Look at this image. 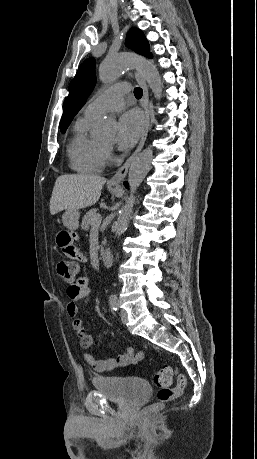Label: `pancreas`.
<instances>
[{
  "instance_id": "pancreas-1",
  "label": "pancreas",
  "mask_w": 257,
  "mask_h": 459,
  "mask_svg": "<svg viewBox=\"0 0 257 459\" xmlns=\"http://www.w3.org/2000/svg\"><path fill=\"white\" fill-rule=\"evenodd\" d=\"M99 215L97 209L89 210L82 220V230L88 231L90 226H93L95 218Z\"/></svg>"
}]
</instances>
